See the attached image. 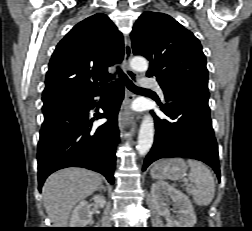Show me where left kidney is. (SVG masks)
Returning a JSON list of instances; mask_svg holds the SVG:
<instances>
[{
    "mask_svg": "<svg viewBox=\"0 0 252 231\" xmlns=\"http://www.w3.org/2000/svg\"><path fill=\"white\" fill-rule=\"evenodd\" d=\"M151 195L157 212L165 216L169 228H192L196 223V215L189 198L182 192L164 182L152 184ZM169 197L179 209L178 215L170 214L167 206Z\"/></svg>",
    "mask_w": 252,
    "mask_h": 231,
    "instance_id": "obj_1",
    "label": "left kidney"
}]
</instances>
